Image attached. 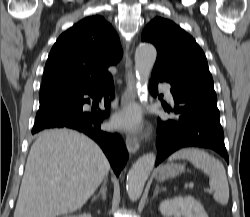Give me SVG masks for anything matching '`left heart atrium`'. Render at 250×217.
Returning <instances> with one entry per match:
<instances>
[{"label":"left heart atrium","instance_id":"obj_1","mask_svg":"<svg viewBox=\"0 0 250 217\" xmlns=\"http://www.w3.org/2000/svg\"><path fill=\"white\" fill-rule=\"evenodd\" d=\"M112 124L117 128L136 130L140 126L138 111L133 107L126 108L112 118Z\"/></svg>","mask_w":250,"mask_h":217}]
</instances>
